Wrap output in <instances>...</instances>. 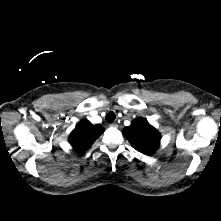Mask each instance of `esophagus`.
<instances>
[{
  "mask_svg": "<svg viewBox=\"0 0 221 221\" xmlns=\"http://www.w3.org/2000/svg\"><path fill=\"white\" fill-rule=\"evenodd\" d=\"M111 127H114V128H117L118 127V124L116 122L110 124Z\"/></svg>",
  "mask_w": 221,
  "mask_h": 221,
  "instance_id": "34e87169",
  "label": "esophagus"
}]
</instances>
